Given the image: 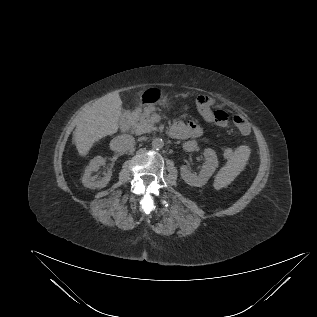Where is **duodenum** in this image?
<instances>
[{"instance_id": "410a0bca", "label": "duodenum", "mask_w": 317, "mask_h": 317, "mask_svg": "<svg viewBox=\"0 0 317 317\" xmlns=\"http://www.w3.org/2000/svg\"><path fill=\"white\" fill-rule=\"evenodd\" d=\"M130 121H131L130 113L129 112L124 113L119 123L122 131H126L129 128Z\"/></svg>"}]
</instances>
